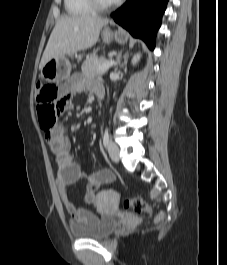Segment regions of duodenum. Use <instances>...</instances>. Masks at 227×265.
Instances as JSON below:
<instances>
[{
    "instance_id": "1",
    "label": "duodenum",
    "mask_w": 227,
    "mask_h": 265,
    "mask_svg": "<svg viewBox=\"0 0 227 265\" xmlns=\"http://www.w3.org/2000/svg\"><path fill=\"white\" fill-rule=\"evenodd\" d=\"M97 96H98L99 99H103V97H104V90L103 89L102 90H99L97 92Z\"/></svg>"
}]
</instances>
